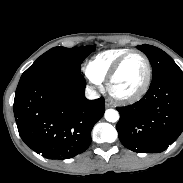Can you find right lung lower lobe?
I'll return each mask as SVG.
<instances>
[{
	"instance_id": "1",
	"label": "right lung lower lobe",
	"mask_w": 183,
	"mask_h": 183,
	"mask_svg": "<svg viewBox=\"0 0 183 183\" xmlns=\"http://www.w3.org/2000/svg\"><path fill=\"white\" fill-rule=\"evenodd\" d=\"M85 87L79 72L20 79L13 110L24 143L48 159L86 151L105 109L103 98H85Z\"/></svg>"
}]
</instances>
